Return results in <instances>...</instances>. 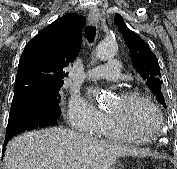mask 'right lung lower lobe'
I'll use <instances>...</instances> for the list:
<instances>
[{"label":"right lung lower lobe","mask_w":177,"mask_h":169,"mask_svg":"<svg viewBox=\"0 0 177 169\" xmlns=\"http://www.w3.org/2000/svg\"><path fill=\"white\" fill-rule=\"evenodd\" d=\"M58 119L59 116L46 111L10 110L3 147L19 132L48 125H57Z\"/></svg>","instance_id":"1"}]
</instances>
